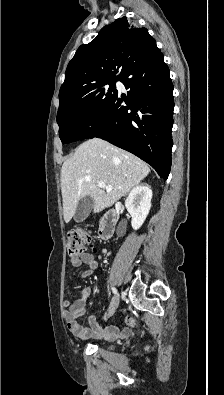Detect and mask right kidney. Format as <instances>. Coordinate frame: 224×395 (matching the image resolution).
<instances>
[{
  "instance_id": "1",
  "label": "right kidney",
  "mask_w": 224,
  "mask_h": 395,
  "mask_svg": "<svg viewBox=\"0 0 224 395\" xmlns=\"http://www.w3.org/2000/svg\"><path fill=\"white\" fill-rule=\"evenodd\" d=\"M152 190L148 185L132 189L125 201L127 211L132 217L131 225L138 230L144 223L151 208Z\"/></svg>"
}]
</instances>
